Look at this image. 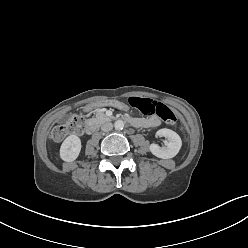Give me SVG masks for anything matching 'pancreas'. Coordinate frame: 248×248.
<instances>
[{"mask_svg":"<svg viewBox=\"0 0 248 248\" xmlns=\"http://www.w3.org/2000/svg\"><path fill=\"white\" fill-rule=\"evenodd\" d=\"M94 120H95L98 124H101V123H104V122H106V121L111 120V118L108 117V116H107L105 113H103L102 111H97Z\"/></svg>","mask_w":248,"mask_h":248,"instance_id":"cf45deb5","label":"pancreas"}]
</instances>
